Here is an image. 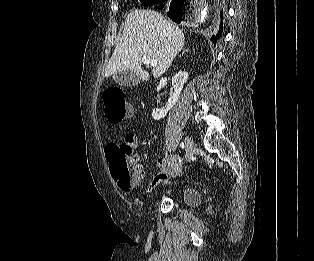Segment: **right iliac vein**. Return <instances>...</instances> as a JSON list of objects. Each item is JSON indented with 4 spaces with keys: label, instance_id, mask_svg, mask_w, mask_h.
I'll use <instances>...</instances> for the list:
<instances>
[{
    "label": "right iliac vein",
    "instance_id": "63e3f726",
    "mask_svg": "<svg viewBox=\"0 0 314 261\" xmlns=\"http://www.w3.org/2000/svg\"><path fill=\"white\" fill-rule=\"evenodd\" d=\"M185 146H186V159L189 160L195 148L194 141L191 137L187 136L185 138Z\"/></svg>",
    "mask_w": 314,
    "mask_h": 261
}]
</instances>
